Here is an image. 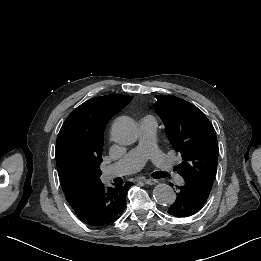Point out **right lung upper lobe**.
I'll use <instances>...</instances> for the list:
<instances>
[{"label": "right lung upper lobe", "mask_w": 261, "mask_h": 261, "mask_svg": "<svg viewBox=\"0 0 261 261\" xmlns=\"http://www.w3.org/2000/svg\"><path fill=\"white\" fill-rule=\"evenodd\" d=\"M131 100L130 96L113 94L90 99L77 107L65 120L57 137V168L64 153L70 148L101 153L106 124L114 113ZM82 197L66 198L71 204Z\"/></svg>", "instance_id": "1"}]
</instances>
